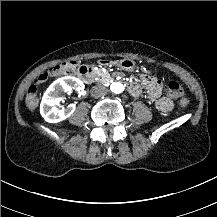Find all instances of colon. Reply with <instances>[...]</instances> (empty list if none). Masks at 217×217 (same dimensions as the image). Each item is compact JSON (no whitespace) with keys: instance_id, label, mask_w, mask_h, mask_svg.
Instances as JSON below:
<instances>
[{"instance_id":"obj_1","label":"colon","mask_w":217,"mask_h":217,"mask_svg":"<svg viewBox=\"0 0 217 217\" xmlns=\"http://www.w3.org/2000/svg\"><path fill=\"white\" fill-rule=\"evenodd\" d=\"M77 68V63L74 60H69L67 63H56L45 72L36 78L39 84L44 83L48 78L56 73L68 74L70 71H74ZM37 82L31 84L25 94V105L29 110H34L38 105V87ZM167 92L176 97L177 103L180 107L185 108L189 104V98L187 93L178 81H169L166 85Z\"/></svg>"}]
</instances>
